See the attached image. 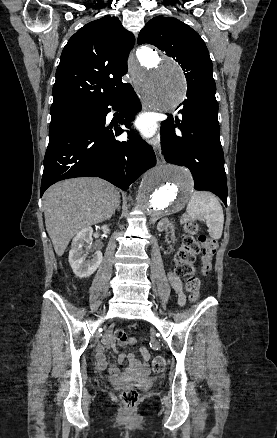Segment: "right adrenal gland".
<instances>
[{
	"label": "right adrenal gland",
	"instance_id": "obj_1",
	"mask_svg": "<svg viewBox=\"0 0 277 438\" xmlns=\"http://www.w3.org/2000/svg\"><path fill=\"white\" fill-rule=\"evenodd\" d=\"M116 210H117V212H120V202H119V204H117Z\"/></svg>",
	"mask_w": 277,
	"mask_h": 438
}]
</instances>
